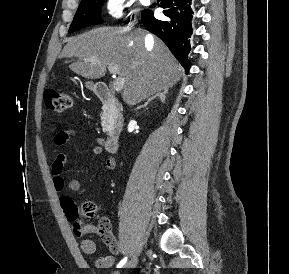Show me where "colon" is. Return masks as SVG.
<instances>
[{
  "label": "colon",
  "instance_id": "5ec220e1",
  "mask_svg": "<svg viewBox=\"0 0 289 274\" xmlns=\"http://www.w3.org/2000/svg\"><path fill=\"white\" fill-rule=\"evenodd\" d=\"M44 100L46 106L49 109L56 112H63L69 109L72 105V100L68 94L54 89H48L45 91ZM63 205L67 215L71 219H76L80 213V210L87 217L94 216L96 212V206L92 202L83 203L81 209L79 210V208L74 204V202L70 198L65 197L63 199ZM77 231H81L79 226L77 227ZM97 231L98 233L109 238V234L111 232L110 221L107 218H102L99 221Z\"/></svg>",
  "mask_w": 289,
  "mask_h": 274
}]
</instances>
